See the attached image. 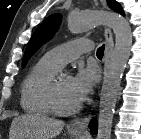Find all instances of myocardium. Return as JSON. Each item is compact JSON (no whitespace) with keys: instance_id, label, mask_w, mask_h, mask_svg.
<instances>
[{"instance_id":"1","label":"myocardium","mask_w":141,"mask_h":139,"mask_svg":"<svg viewBox=\"0 0 141 139\" xmlns=\"http://www.w3.org/2000/svg\"><path fill=\"white\" fill-rule=\"evenodd\" d=\"M58 75H55L49 85H48V90H47V97H48V102L50 105V108L52 112L56 115H71L75 112H77L80 108L79 104H76L71 107H64L61 105L59 98H58Z\"/></svg>"}]
</instances>
